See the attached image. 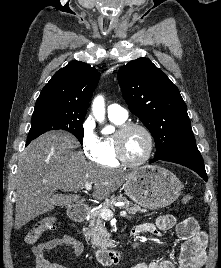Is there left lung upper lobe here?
Segmentation results:
<instances>
[{"label": "left lung upper lobe", "instance_id": "1", "mask_svg": "<svg viewBox=\"0 0 221 268\" xmlns=\"http://www.w3.org/2000/svg\"><path fill=\"white\" fill-rule=\"evenodd\" d=\"M117 78L129 110L154 137V158H163L182 145L196 142L178 88L148 58L122 66Z\"/></svg>", "mask_w": 221, "mask_h": 268}]
</instances>
